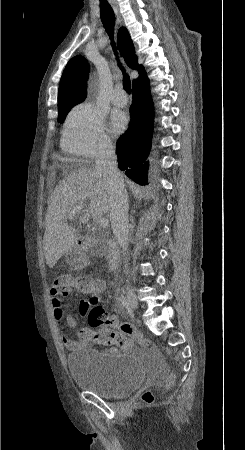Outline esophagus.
<instances>
[{
	"mask_svg": "<svg viewBox=\"0 0 245 450\" xmlns=\"http://www.w3.org/2000/svg\"><path fill=\"white\" fill-rule=\"evenodd\" d=\"M112 6H113V9H114V11H115L117 17L119 18V13H118V7H117V5L113 4Z\"/></svg>",
	"mask_w": 245,
	"mask_h": 450,
	"instance_id": "1",
	"label": "esophagus"
}]
</instances>
